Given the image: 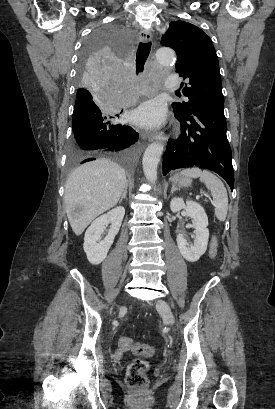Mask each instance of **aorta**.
Instances as JSON below:
<instances>
[{"mask_svg": "<svg viewBox=\"0 0 275 409\" xmlns=\"http://www.w3.org/2000/svg\"><path fill=\"white\" fill-rule=\"evenodd\" d=\"M159 64H173L175 62V52L171 48H159L156 52ZM162 142H152L148 144L143 156V170L149 182L157 180V166L163 152Z\"/></svg>", "mask_w": 275, "mask_h": 409, "instance_id": "aorta-1", "label": "aorta"}]
</instances>
